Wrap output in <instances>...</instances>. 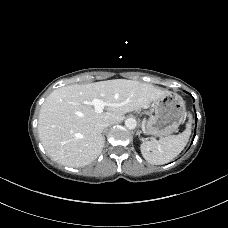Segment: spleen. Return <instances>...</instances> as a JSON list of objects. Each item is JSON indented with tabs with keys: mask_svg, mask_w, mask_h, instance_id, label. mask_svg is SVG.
<instances>
[{
	"mask_svg": "<svg viewBox=\"0 0 228 228\" xmlns=\"http://www.w3.org/2000/svg\"><path fill=\"white\" fill-rule=\"evenodd\" d=\"M190 128L191 123L189 122L186 130L181 134L143 142L140 150L144 159L155 165L172 161L186 146L191 134Z\"/></svg>",
	"mask_w": 228,
	"mask_h": 228,
	"instance_id": "3e777b00",
	"label": "spleen"
}]
</instances>
